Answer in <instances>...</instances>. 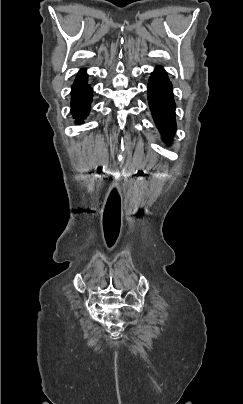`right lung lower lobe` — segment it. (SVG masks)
Listing matches in <instances>:
<instances>
[{
	"label": "right lung lower lobe",
	"instance_id": "right-lung-lower-lobe-1",
	"mask_svg": "<svg viewBox=\"0 0 243 404\" xmlns=\"http://www.w3.org/2000/svg\"><path fill=\"white\" fill-rule=\"evenodd\" d=\"M71 113L78 122L88 115L92 101V88L87 83V74L80 70L71 88Z\"/></svg>",
	"mask_w": 243,
	"mask_h": 404
}]
</instances>
